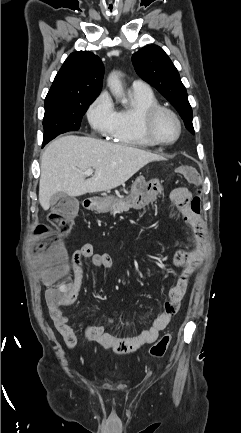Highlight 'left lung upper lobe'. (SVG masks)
<instances>
[{
  "mask_svg": "<svg viewBox=\"0 0 241 433\" xmlns=\"http://www.w3.org/2000/svg\"><path fill=\"white\" fill-rule=\"evenodd\" d=\"M137 74L153 85L180 113L186 128L194 134L192 109L179 73L165 51L148 45L132 56Z\"/></svg>",
  "mask_w": 241,
  "mask_h": 433,
  "instance_id": "left-lung-upper-lobe-1",
  "label": "left lung upper lobe"
}]
</instances>
